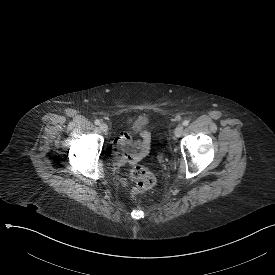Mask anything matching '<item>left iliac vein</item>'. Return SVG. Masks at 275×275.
Segmentation results:
<instances>
[{"mask_svg":"<svg viewBox=\"0 0 275 275\" xmlns=\"http://www.w3.org/2000/svg\"><path fill=\"white\" fill-rule=\"evenodd\" d=\"M184 127L183 125H178L175 129V136L180 137L183 134Z\"/></svg>","mask_w":275,"mask_h":275,"instance_id":"1","label":"left iliac vein"}]
</instances>
